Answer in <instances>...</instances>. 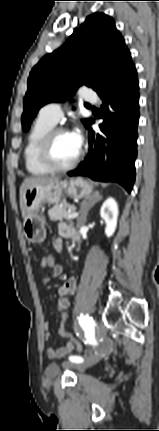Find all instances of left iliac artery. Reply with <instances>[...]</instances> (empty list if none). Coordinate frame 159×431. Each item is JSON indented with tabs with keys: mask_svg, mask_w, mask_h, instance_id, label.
Instances as JSON below:
<instances>
[{
	"mask_svg": "<svg viewBox=\"0 0 159 431\" xmlns=\"http://www.w3.org/2000/svg\"><path fill=\"white\" fill-rule=\"evenodd\" d=\"M79 322H80L81 326L83 327V329L85 330V332L87 333V341L89 343H92L94 341L93 335L90 336L88 332L90 330L93 331V327H94L93 318L89 317L88 315L84 316L83 314H81L80 318H79ZM69 359H70V361L75 362V363H81L83 361V358L79 357V356H71Z\"/></svg>",
	"mask_w": 159,
	"mask_h": 431,
	"instance_id": "left-iliac-artery-1",
	"label": "left iliac artery"
}]
</instances>
